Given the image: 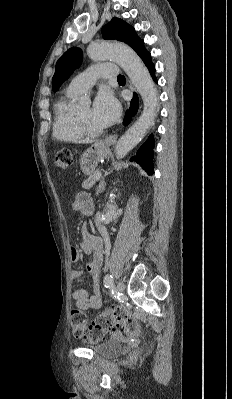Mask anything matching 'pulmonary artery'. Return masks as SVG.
I'll return each instance as SVG.
<instances>
[{
    "label": "pulmonary artery",
    "mask_w": 232,
    "mask_h": 399,
    "mask_svg": "<svg viewBox=\"0 0 232 399\" xmlns=\"http://www.w3.org/2000/svg\"><path fill=\"white\" fill-rule=\"evenodd\" d=\"M92 68L94 70L92 73H88V71L75 73L73 81H70L71 89L66 91L67 96H88V89L92 88V85L89 84H97L98 80H115L117 78L116 63H93Z\"/></svg>",
    "instance_id": "obj_1"
}]
</instances>
